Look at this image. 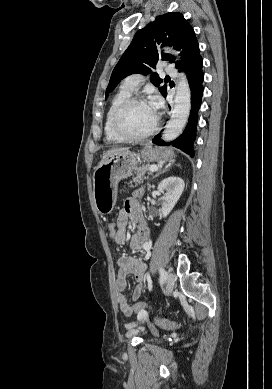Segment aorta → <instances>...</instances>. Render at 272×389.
I'll return each mask as SVG.
<instances>
[{"label":"aorta","mask_w":272,"mask_h":389,"mask_svg":"<svg viewBox=\"0 0 272 389\" xmlns=\"http://www.w3.org/2000/svg\"><path fill=\"white\" fill-rule=\"evenodd\" d=\"M173 54H177L174 50H169ZM175 105L172 111L171 119L169 120L166 129L163 133V140L170 142L176 139L184 128L191 108V91L186 76L182 73L177 84V92L175 96Z\"/></svg>","instance_id":"aorta-1"}]
</instances>
